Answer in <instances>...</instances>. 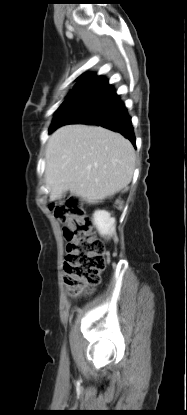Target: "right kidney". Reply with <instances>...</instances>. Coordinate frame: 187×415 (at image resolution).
I'll use <instances>...</instances> for the list:
<instances>
[{"label": "right kidney", "instance_id": "obj_1", "mask_svg": "<svg viewBox=\"0 0 187 415\" xmlns=\"http://www.w3.org/2000/svg\"><path fill=\"white\" fill-rule=\"evenodd\" d=\"M93 223L102 236H110L115 232V218L105 210H97L93 214Z\"/></svg>", "mask_w": 187, "mask_h": 415}]
</instances>
